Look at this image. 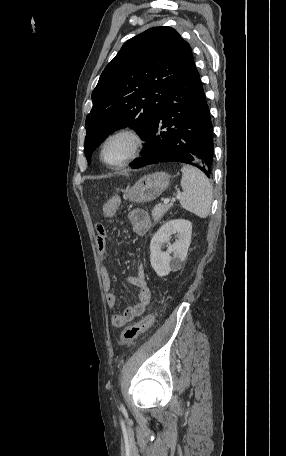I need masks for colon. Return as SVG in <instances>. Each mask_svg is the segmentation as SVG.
Listing matches in <instances>:
<instances>
[{
    "label": "colon",
    "instance_id": "5ec220e1",
    "mask_svg": "<svg viewBox=\"0 0 286 456\" xmlns=\"http://www.w3.org/2000/svg\"><path fill=\"white\" fill-rule=\"evenodd\" d=\"M111 204L116 205L118 203V198H113L109 202ZM155 321V314H151L141 321L126 327L122 334H121V343L122 344H129L138 339L142 334H144L154 323Z\"/></svg>",
    "mask_w": 286,
    "mask_h": 456
}]
</instances>
